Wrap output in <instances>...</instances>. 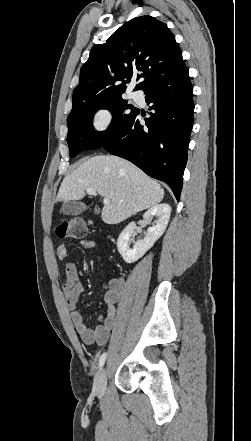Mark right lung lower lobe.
Returning <instances> with one entry per match:
<instances>
[{"label":"right lung lower lobe","mask_w":251,"mask_h":441,"mask_svg":"<svg viewBox=\"0 0 251 441\" xmlns=\"http://www.w3.org/2000/svg\"><path fill=\"white\" fill-rule=\"evenodd\" d=\"M143 91L154 110L151 117L145 118L146 126L140 124L141 113L137 109L127 125L102 148L166 182L179 201L194 112L193 87L186 65L151 82Z\"/></svg>","instance_id":"98d812e1"}]
</instances>
